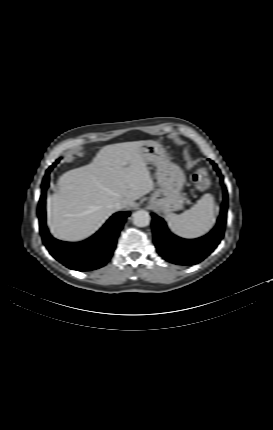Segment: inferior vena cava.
<instances>
[{"label":"inferior vena cava","mask_w":273,"mask_h":430,"mask_svg":"<svg viewBox=\"0 0 273 430\" xmlns=\"http://www.w3.org/2000/svg\"><path fill=\"white\" fill-rule=\"evenodd\" d=\"M127 204H128L127 200L121 199L114 204V208L115 210H120V209L126 208Z\"/></svg>","instance_id":"1"}]
</instances>
